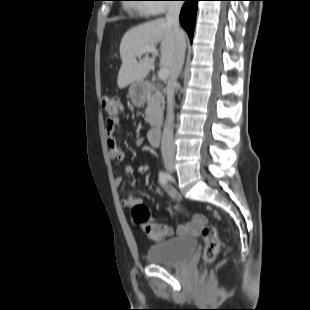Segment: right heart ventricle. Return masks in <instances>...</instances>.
<instances>
[{
    "mask_svg": "<svg viewBox=\"0 0 310 310\" xmlns=\"http://www.w3.org/2000/svg\"><path fill=\"white\" fill-rule=\"evenodd\" d=\"M140 11L144 14H151V10L148 8V5H144L140 8Z\"/></svg>",
    "mask_w": 310,
    "mask_h": 310,
    "instance_id": "1",
    "label": "right heart ventricle"
}]
</instances>
